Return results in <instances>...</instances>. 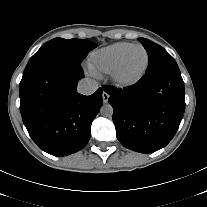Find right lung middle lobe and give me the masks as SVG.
Segmentation results:
<instances>
[{"label": "right lung middle lobe", "mask_w": 207, "mask_h": 207, "mask_svg": "<svg viewBox=\"0 0 207 207\" xmlns=\"http://www.w3.org/2000/svg\"><path fill=\"white\" fill-rule=\"evenodd\" d=\"M96 47L97 44L89 40L54 38L42 45L30 58L25 71L35 68L44 62L58 59L81 65L87 54Z\"/></svg>", "instance_id": "1"}]
</instances>
